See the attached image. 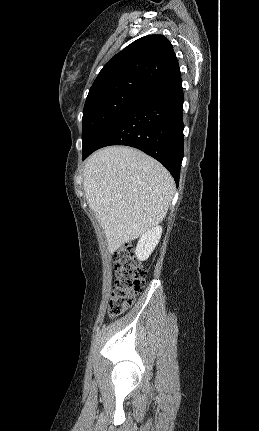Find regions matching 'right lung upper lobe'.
I'll return each instance as SVG.
<instances>
[{
  "instance_id": "1",
  "label": "right lung upper lobe",
  "mask_w": 259,
  "mask_h": 431,
  "mask_svg": "<svg viewBox=\"0 0 259 431\" xmlns=\"http://www.w3.org/2000/svg\"><path fill=\"white\" fill-rule=\"evenodd\" d=\"M181 76L170 41L163 35H148L131 43L102 68L89 94L138 81L149 88Z\"/></svg>"
}]
</instances>
